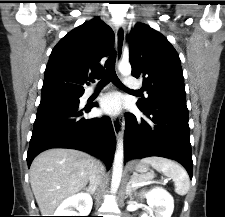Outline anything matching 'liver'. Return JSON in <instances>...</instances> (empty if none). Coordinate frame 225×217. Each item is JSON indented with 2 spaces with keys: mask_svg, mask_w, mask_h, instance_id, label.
<instances>
[{
  "mask_svg": "<svg viewBox=\"0 0 225 217\" xmlns=\"http://www.w3.org/2000/svg\"><path fill=\"white\" fill-rule=\"evenodd\" d=\"M95 160L87 153L54 148L40 153L30 167V183L42 216H52L59 204L81 191Z\"/></svg>",
  "mask_w": 225,
  "mask_h": 217,
  "instance_id": "obj_1",
  "label": "liver"
}]
</instances>
